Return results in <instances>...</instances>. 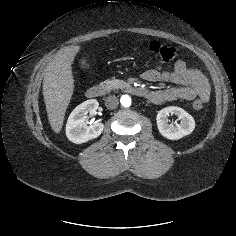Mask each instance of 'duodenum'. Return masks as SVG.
Wrapping results in <instances>:
<instances>
[{
  "label": "duodenum",
  "mask_w": 236,
  "mask_h": 236,
  "mask_svg": "<svg viewBox=\"0 0 236 236\" xmlns=\"http://www.w3.org/2000/svg\"><path fill=\"white\" fill-rule=\"evenodd\" d=\"M125 89L137 96L143 97V98H148L150 96V91L143 89L141 87H137L134 85H126ZM106 91L105 86L103 85H94L91 86L87 89L86 91V96L89 99H96L101 97Z\"/></svg>",
  "instance_id": "410a0bca"
}]
</instances>
